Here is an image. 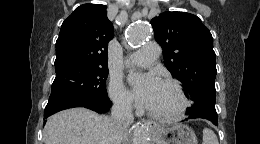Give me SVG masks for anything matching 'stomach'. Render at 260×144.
Segmentation results:
<instances>
[{
  "instance_id": "0dacf381",
  "label": "stomach",
  "mask_w": 260,
  "mask_h": 144,
  "mask_svg": "<svg viewBox=\"0 0 260 144\" xmlns=\"http://www.w3.org/2000/svg\"><path fill=\"white\" fill-rule=\"evenodd\" d=\"M151 136L156 144H198L194 131L183 124L153 129Z\"/></svg>"
}]
</instances>
